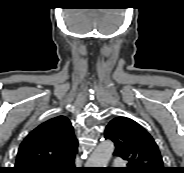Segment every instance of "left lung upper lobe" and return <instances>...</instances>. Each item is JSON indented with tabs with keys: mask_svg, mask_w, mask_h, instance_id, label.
Wrapping results in <instances>:
<instances>
[{
	"mask_svg": "<svg viewBox=\"0 0 184 173\" xmlns=\"http://www.w3.org/2000/svg\"><path fill=\"white\" fill-rule=\"evenodd\" d=\"M105 138L114 142V155L128 162L125 173H166L154 139L134 120L114 118L105 129Z\"/></svg>",
	"mask_w": 184,
	"mask_h": 173,
	"instance_id": "5c2ea615",
	"label": "left lung upper lobe"
}]
</instances>
